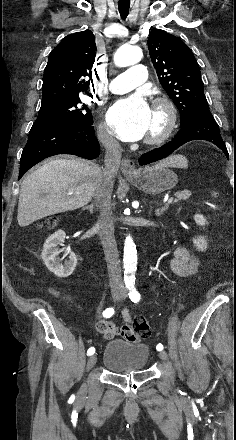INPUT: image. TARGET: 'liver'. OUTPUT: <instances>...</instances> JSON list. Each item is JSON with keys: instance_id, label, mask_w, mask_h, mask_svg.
<instances>
[{"instance_id": "6515ba94", "label": "liver", "mask_w": 236, "mask_h": 440, "mask_svg": "<svg viewBox=\"0 0 236 440\" xmlns=\"http://www.w3.org/2000/svg\"><path fill=\"white\" fill-rule=\"evenodd\" d=\"M186 161V162H185ZM183 156H173L158 166L187 167ZM100 167L79 158L55 159L29 174L22 182L17 220L25 227L44 217L73 211L93 198Z\"/></svg>"}]
</instances>
